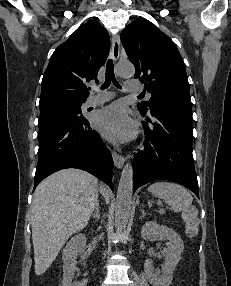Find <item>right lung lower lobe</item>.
Masks as SVG:
<instances>
[{
  "instance_id": "1",
  "label": "right lung lower lobe",
  "mask_w": 231,
  "mask_h": 286,
  "mask_svg": "<svg viewBox=\"0 0 231 286\" xmlns=\"http://www.w3.org/2000/svg\"><path fill=\"white\" fill-rule=\"evenodd\" d=\"M38 164L34 189L48 175L65 168H78L98 177L114 190L113 159L89 121L64 120L39 129Z\"/></svg>"
}]
</instances>
